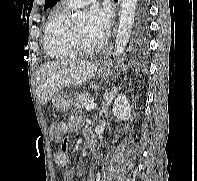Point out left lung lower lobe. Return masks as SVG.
I'll return each instance as SVG.
<instances>
[{"mask_svg":"<svg viewBox=\"0 0 197 181\" xmlns=\"http://www.w3.org/2000/svg\"><path fill=\"white\" fill-rule=\"evenodd\" d=\"M149 0H140L136 26L126 55L130 58H140L147 51Z\"/></svg>","mask_w":197,"mask_h":181,"instance_id":"1","label":"left lung lower lobe"}]
</instances>
